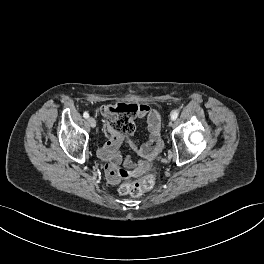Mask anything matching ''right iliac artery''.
Segmentation results:
<instances>
[{"label":"right iliac artery","mask_w":264,"mask_h":264,"mask_svg":"<svg viewBox=\"0 0 264 264\" xmlns=\"http://www.w3.org/2000/svg\"><path fill=\"white\" fill-rule=\"evenodd\" d=\"M83 117L87 119V118L89 117L88 112H84V113H83Z\"/></svg>","instance_id":"1"}]
</instances>
